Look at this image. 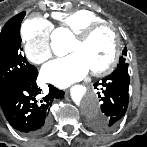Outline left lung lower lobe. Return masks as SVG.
I'll return each mask as SVG.
<instances>
[{
	"instance_id": "left-lung-lower-lobe-1",
	"label": "left lung lower lobe",
	"mask_w": 147,
	"mask_h": 147,
	"mask_svg": "<svg viewBox=\"0 0 147 147\" xmlns=\"http://www.w3.org/2000/svg\"><path fill=\"white\" fill-rule=\"evenodd\" d=\"M130 77L128 65L117 67L109 76L96 82L94 87H101L102 117H90L88 125L97 130H111L115 128L126 113L128 106V91Z\"/></svg>"
}]
</instances>
